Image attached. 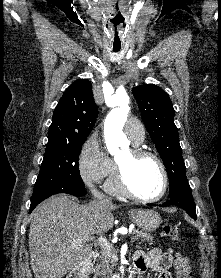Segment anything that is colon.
<instances>
[{
  "instance_id": "5ec220e1",
  "label": "colon",
  "mask_w": 221,
  "mask_h": 278,
  "mask_svg": "<svg viewBox=\"0 0 221 278\" xmlns=\"http://www.w3.org/2000/svg\"><path fill=\"white\" fill-rule=\"evenodd\" d=\"M162 234L173 241L179 240L178 230L171 225H164L162 228ZM175 273L177 278H192V271L189 261L181 257L178 259L175 266Z\"/></svg>"
}]
</instances>
